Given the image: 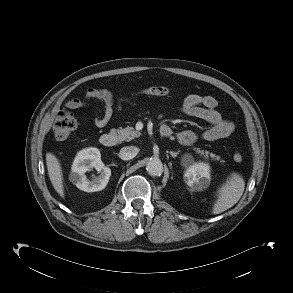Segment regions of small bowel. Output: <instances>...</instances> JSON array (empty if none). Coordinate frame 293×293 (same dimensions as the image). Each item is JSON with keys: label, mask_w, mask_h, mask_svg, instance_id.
Wrapping results in <instances>:
<instances>
[{"label": "small bowel", "mask_w": 293, "mask_h": 293, "mask_svg": "<svg viewBox=\"0 0 293 293\" xmlns=\"http://www.w3.org/2000/svg\"><path fill=\"white\" fill-rule=\"evenodd\" d=\"M97 100L102 104V109L96 110L94 124L98 128L105 127L111 120L114 111L120 110L124 104H134L137 98L131 96H121L116 99L113 94L103 88H90L82 97H75L66 102V107L72 110L83 108L89 100ZM217 100L209 95L189 94L181 105L183 113L200 118L208 123L209 127L202 133V139L215 141L226 138L234 131V124L224 119L217 111ZM165 127H170L164 125ZM180 143L185 145L193 144L198 135L191 130H185L176 134Z\"/></svg>", "instance_id": "obj_1"}]
</instances>
